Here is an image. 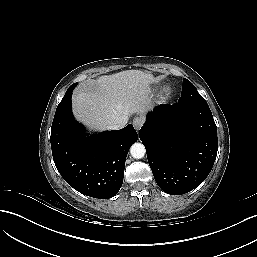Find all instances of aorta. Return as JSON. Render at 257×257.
I'll return each instance as SVG.
<instances>
[{
  "mask_svg": "<svg viewBox=\"0 0 257 257\" xmlns=\"http://www.w3.org/2000/svg\"><path fill=\"white\" fill-rule=\"evenodd\" d=\"M131 156L135 159H141L145 156L146 149L141 143H134L130 148Z\"/></svg>",
  "mask_w": 257,
  "mask_h": 257,
  "instance_id": "obj_1",
  "label": "aorta"
}]
</instances>
